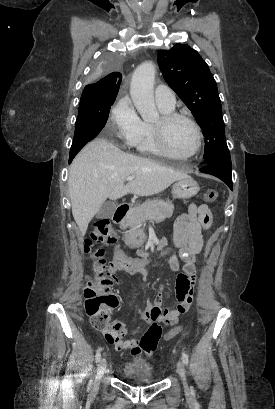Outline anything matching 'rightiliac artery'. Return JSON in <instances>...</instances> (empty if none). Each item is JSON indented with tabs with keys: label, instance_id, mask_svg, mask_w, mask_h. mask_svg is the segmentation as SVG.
Instances as JSON below:
<instances>
[{
	"label": "right iliac artery",
	"instance_id": "1",
	"mask_svg": "<svg viewBox=\"0 0 275 409\" xmlns=\"http://www.w3.org/2000/svg\"><path fill=\"white\" fill-rule=\"evenodd\" d=\"M101 350H102L101 348H99L97 350V353H96V356H95L96 363H98L100 361V359H101Z\"/></svg>",
	"mask_w": 275,
	"mask_h": 409
}]
</instances>
